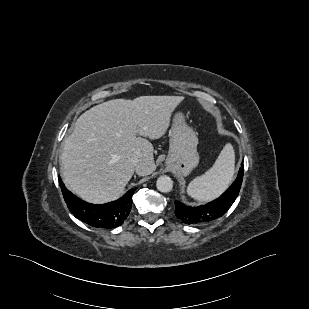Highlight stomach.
<instances>
[{
    "label": "stomach",
    "mask_w": 309,
    "mask_h": 309,
    "mask_svg": "<svg viewBox=\"0 0 309 309\" xmlns=\"http://www.w3.org/2000/svg\"><path fill=\"white\" fill-rule=\"evenodd\" d=\"M170 147L166 163L174 166L181 175H188L199 163L197 133L187 125L183 113L174 115L169 130Z\"/></svg>",
    "instance_id": "1"
}]
</instances>
